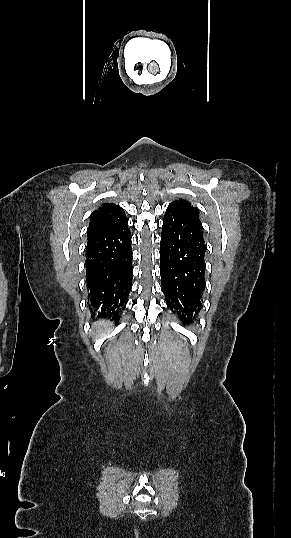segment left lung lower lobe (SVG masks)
Returning <instances> with one entry per match:
<instances>
[{"label": "left lung lower lobe", "instance_id": "0a47b994", "mask_svg": "<svg viewBox=\"0 0 291 538\" xmlns=\"http://www.w3.org/2000/svg\"><path fill=\"white\" fill-rule=\"evenodd\" d=\"M160 247L161 289L168 308L184 322L196 321L205 290L206 245L199 218L167 209Z\"/></svg>", "mask_w": 291, "mask_h": 538}]
</instances>
